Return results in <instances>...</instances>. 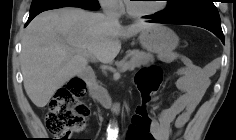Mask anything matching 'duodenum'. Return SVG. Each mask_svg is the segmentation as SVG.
I'll use <instances>...</instances> for the list:
<instances>
[{"label": "duodenum", "instance_id": "410a0bca", "mask_svg": "<svg viewBox=\"0 0 236 140\" xmlns=\"http://www.w3.org/2000/svg\"><path fill=\"white\" fill-rule=\"evenodd\" d=\"M81 76L91 84L90 97L99 102L103 107L106 108H117V106L112 102L110 97L106 95L103 90L95 85V75L90 69H83L81 71Z\"/></svg>", "mask_w": 236, "mask_h": 140}]
</instances>
